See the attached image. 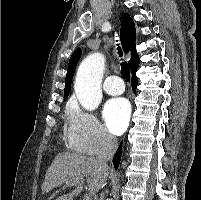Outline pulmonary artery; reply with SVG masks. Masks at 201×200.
<instances>
[{"instance_id": "e3ab8cb5", "label": "pulmonary artery", "mask_w": 201, "mask_h": 200, "mask_svg": "<svg viewBox=\"0 0 201 200\" xmlns=\"http://www.w3.org/2000/svg\"><path fill=\"white\" fill-rule=\"evenodd\" d=\"M103 89L109 95H120L124 92V83L117 75H110L106 78Z\"/></svg>"}]
</instances>
